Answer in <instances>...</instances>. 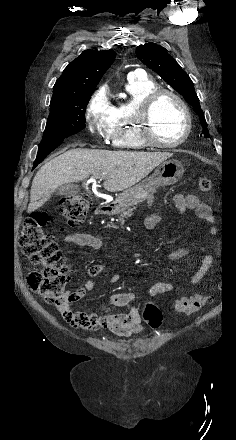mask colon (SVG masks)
<instances>
[{
	"instance_id": "obj_1",
	"label": "colon",
	"mask_w": 236,
	"mask_h": 440,
	"mask_svg": "<svg viewBox=\"0 0 236 440\" xmlns=\"http://www.w3.org/2000/svg\"><path fill=\"white\" fill-rule=\"evenodd\" d=\"M199 188L202 192H209L212 188L211 180L208 177L200 178ZM89 208L90 199L85 193L65 197L60 204V212L71 226L82 224ZM48 219L46 213L37 212L23 223L19 238L20 247L28 261L39 267L29 272L27 284L33 292L55 306L68 323L88 321L77 320L71 316V300L65 290L70 269L54 237L44 230ZM208 302V296L197 293L178 299L174 311L178 314L191 315L200 311ZM142 317L145 323L153 328L159 327L163 320L162 312L151 302L144 305Z\"/></svg>"
}]
</instances>
